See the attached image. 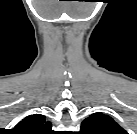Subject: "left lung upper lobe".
Masks as SVG:
<instances>
[{"mask_svg": "<svg viewBox=\"0 0 137 134\" xmlns=\"http://www.w3.org/2000/svg\"><path fill=\"white\" fill-rule=\"evenodd\" d=\"M80 134H127L110 116L103 113L91 114L81 123Z\"/></svg>", "mask_w": 137, "mask_h": 134, "instance_id": "1", "label": "left lung upper lobe"}]
</instances>
